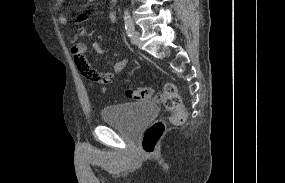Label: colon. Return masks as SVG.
I'll use <instances>...</instances> for the list:
<instances>
[{
  "label": "colon",
  "instance_id": "obj_1",
  "mask_svg": "<svg viewBox=\"0 0 285 183\" xmlns=\"http://www.w3.org/2000/svg\"><path fill=\"white\" fill-rule=\"evenodd\" d=\"M80 72L89 77L90 70L86 64H77ZM128 97L133 100H149L157 98L163 101L166 109L171 112L168 120L171 124L180 125L185 122L187 118V111L182 106L181 98L177 87L168 83L164 86L163 92L160 95H154L153 90L149 87H138L128 91ZM166 122L162 119L155 121L144 132L141 139V146L147 153H153L156 150L157 144L165 132Z\"/></svg>",
  "mask_w": 285,
  "mask_h": 183
}]
</instances>
